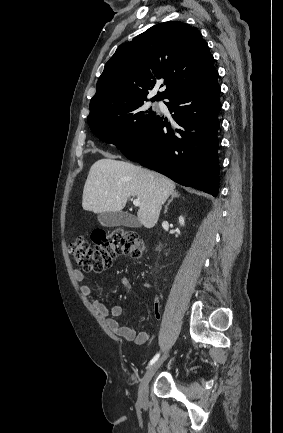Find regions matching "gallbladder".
Here are the masks:
<instances>
[{
  "label": "gallbladder",
  "mask_w": 283,
  "mask_h": 433,
  "mask_svg": "<svg viewBox=\"0 0 283 433\" xmlns=\"http://www.w3.org/2000/svg\"><path fill=\"white\" fill-rule=\"evenodd\" d=\"M98 221L103 227H141L140 221L129 212H99Z\"/></svg>",
  "instance_id": "gallbladder-1"
}]
</instances>
